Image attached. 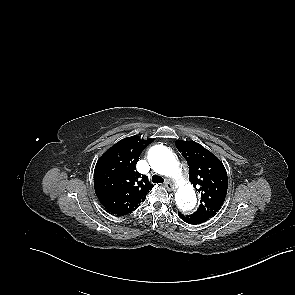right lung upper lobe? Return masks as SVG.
Wrapping results in <instances>:
<instances>
[{
	"label": "right lung upper lobe",
	"mask_w": 295,
	"mask_h": 295,
	"mask_svg": "<svg viewBox=\"0 0 295 295\" xmlns=\"http://www.w3.org/2000/svg\"><path fill=\"white\" fill-rule=\"evenodd\" d=\"M153 141L138 136L122 139L97 161L94 169L95 193L112 214L121 216L132 212L153 188L147 177L136 171L140 153Z\"/></svg>",
	"instance_id": "obj_1"
}]
</instances>
